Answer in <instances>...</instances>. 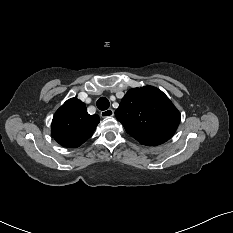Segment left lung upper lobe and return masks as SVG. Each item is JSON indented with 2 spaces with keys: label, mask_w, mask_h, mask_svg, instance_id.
I'll use <instances>...</instances> for the list:
<instances>
[{
  "label": "left lung upper lobe",
  "mask_w": 233,
  "mask_h": 233,
  "mask_svg": "<svg viewBox=\"0 0 233 233\" xmlns=\"http://www.w3.org/2000/svg\"><path fill=\"white\" fill-rule=\"evenodd\" d=\"M115 116L126 132L143 145L166 142L180 122V113L169 98L152 86L129 90Z\"/></svg>",
  "instance_id": "5c2ea615"
}]
</instances>
